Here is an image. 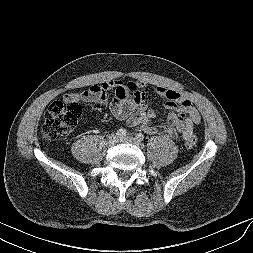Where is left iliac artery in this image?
<instances>
[{
	"mask_svg": "<svg viewBox=\"0 0 253 253\" xmlns=\"http://www.w3.org/2000/svg\"><path fill=\"white\" fill-rule=\"evenodd\" d=\"M136 139L140 142L144 141V135L142 133L136 134Z\"/></svg>",
	"mask_w": 253,
	"mask_h": 253,
	"instance_id": "left-iliac-artery-1",
	"label": "left iliac artery"
}]
</instances>
